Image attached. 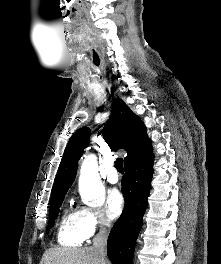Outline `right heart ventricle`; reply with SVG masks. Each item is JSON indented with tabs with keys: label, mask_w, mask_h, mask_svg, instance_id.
<instances>
[{
	"label": "right heart ventricle",
	"mask_w": 221,
	"mask_h": 264,
	"mask_svg": "<svg viewBox=\"0 0 221 264\" xmlns=\"http://www.w3.org/2000/svg\"><path fill=\"white\" fill-rule=\"evenodd\" d=\"M57 240L63 246H80L86 240L81 227L77 210L66 209L61 217Z\"/></svg>",
	"instance_id": "obj_1"
}]
</instances>
